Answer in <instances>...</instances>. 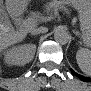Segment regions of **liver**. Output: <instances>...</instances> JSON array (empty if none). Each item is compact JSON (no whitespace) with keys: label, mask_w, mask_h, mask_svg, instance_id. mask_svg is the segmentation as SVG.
Listing matches in <instances>:
<instances>
[{"label":"liver","mask_w":91,"mask_h":91,"mask_svg":"<svg viewBox=\"0 0 91 91\" xmlns=\"http://www.w3.org/2000/svg\"><path fill=\"white\" fill-rule=\"evenodd\" d=\"M36 25H37L36 20L34 19L26 20L23 22L20 29L18 31H15L11 28L9 21H7V24L1 27L0 33L1 49L6 48L15 43L21 42ZM33 57L34 52L32 51L31 54L28 56V59L21 65H24L27 62L31 61Z\"/></svg>","instance_id":"liver-1"}]
</instances>
